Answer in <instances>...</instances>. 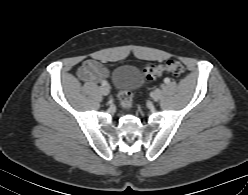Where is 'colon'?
Instances as JSON below:
<instances>
[{"label": "colon", "instance_id": "5ec220e1", "mask_svg": "<svg viewBox=\"0 0 248 195\" xmlns=\"http://www.w3.org/2000/svg\"><path fill=\"white\" fill-rule=\"evenodd\" d=\"M184 71L185 67L183 63L178 60H169L164 64H148L142 70L143 76L147 80L156 79L165 73L173 76H180ZM118 100L124 109H130L133 106V95L128 90L120 91Z\"/></svg>", "mask_w": 248, "mask_h": 195}]
</instances>
